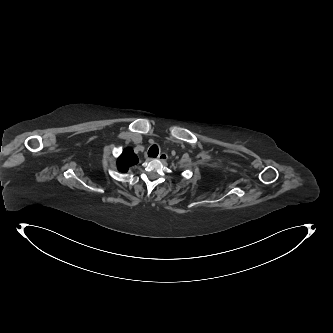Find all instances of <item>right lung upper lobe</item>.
<instances>
[{
  "label": "right lung upper lobe",
  "instance_id": "1",
  "mask_svg": "<svg viewBox=\"0 0 333 333\" xmlns=\"http://www.w3.org/2000/svg\"><path fill=\"white\" fill-rule=\"evenodd\" d=\"M138 163V157L132 148H126L117 161L118 170L121 172L128 171L129 167Z\"/></svg>",
  "mask_w": 333,
  "mask_h": 333
}]
</instances>
